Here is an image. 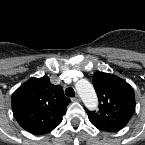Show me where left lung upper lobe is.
I'll return each mask as SVG.
<instances>
[{"label":"left lung upper lobe","instance_id":"5c2ea615","mask_svg":"<svg viewBox=\"0 0 145 145\" xmlns=\"http://www.w3.org/2000/svg\"><path fill=\"white\" fill-rule=\"evenodd\" d=\"M93 85L99 98V110L86 109L90 122L103 131L121 130L135 112L133 88L125 80L100 71L94 74Z\"/></svg>","mask_w":145,"mask_h":145}]
</instances>
